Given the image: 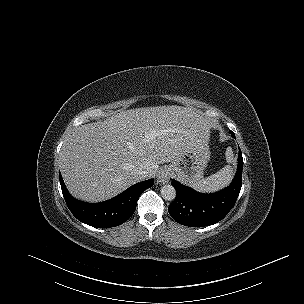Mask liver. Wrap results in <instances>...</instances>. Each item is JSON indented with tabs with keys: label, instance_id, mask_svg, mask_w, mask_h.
<instances>
[{
	"label": "liver",
	"instance_id": "obj_1",
	"mask_svg": "<svg viewBox=\"0 0 304 304\" xmlns=\"http://www.w3.org/2000/svg\"><path fill=\"white\" fill-rule=\"evenodd\" d=\"M210 128L201 114L180 106L122 111L77 127L64 143L60 171L75 198L104 201L141 181L137 168L155 177L159 164L208 147Z\"/></svg>",
	"mask_w": 304,
	"mask_h": 304
}]
</instances>
